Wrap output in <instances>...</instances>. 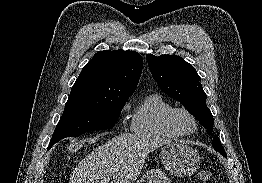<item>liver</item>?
Instances as JSON below:
<instances>
[{"label": "liver", "mask_w": 262, "mask_h": 183, "mask_svg": "<svg viewBox=\"0 0 262 183\" xmlns=\"http://www.w3.org/2000/svg\"><path fill=\"white\" fill-rule=\"evenodd\" d=\"M168 140L151 134L123 133L94 149L77 165L69 183H133L147 155Z\"/></svg>", "instance_id": "liver-1"}]
</instances>
